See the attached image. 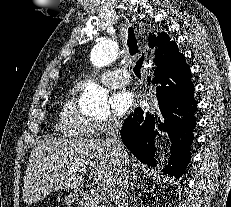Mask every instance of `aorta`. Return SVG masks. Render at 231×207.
Segmentation results:
<instances>
[{
    "mask_svg": "<svg viewBox=\"0 0 231 207\" xmlns=\"http://www.w3.org/2000/svg\"><path fill=\"white\" fill-rule=\"evenodd\" d=\"M118 56V47L112 39L97 42L91 50L90 61L94 67L103 68L111 64ZM108 92L100 85L91 82L84 89L80 105L89 111L101 113L108 110Z\"/></svg>",
    "mask_w": 231,
    "mask_h": 207,
    "instance_id": "aorta-1",
    "label": "aorta"
}]
</instances>
